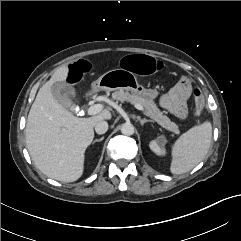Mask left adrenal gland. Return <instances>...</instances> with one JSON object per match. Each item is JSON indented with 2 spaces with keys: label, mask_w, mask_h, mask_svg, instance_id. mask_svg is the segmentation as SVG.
<instances>
[{
  "label": "left adrenal gland",
  "mask_w": 241,
  "mask_h": 241,
  "mask_svg": "<svg viewBox=\"0 0 241 241\" xmlns=\"http://www.w3.org/2000/svg\"><path fill=\"white\" fill-rule=\"evenodd\" d=\"M137 119L140 121L141 125L143 126L147 122H154L153 120L150 119H142L140 116H137Z\"/></svg>",
  "instance_id": "obj_1"
}]
</instances>
